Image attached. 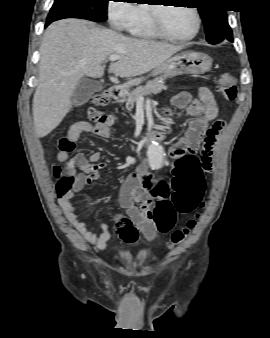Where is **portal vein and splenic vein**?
<instances>
[{
	"mask_svg": "<svg viewBox=\"0 0 270 338\" xmlns=\"http://www.w3.org/2000/svg\"><path fill=\"white\" fill-rule=\"evenodd\" d=\"M120 59H122V57L119 56V55H111V56H109V61H117V60H120ZM141 98H142V97L139 96L138 99H141Z\"/></svg>",
	"mask_w": 270,
	"mask_h": 338,
	"instance_id": "1",
	"label": "portal vein and splenic vein"
}]
</instances>
